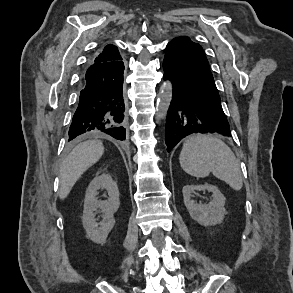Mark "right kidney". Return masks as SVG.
Wrapping results in <instances>:
<instances>
[{
  "label": "right kidney",
  "mask_w": 293,
  "mask_h": 293,
  "mask_svg": "<svg viewBox=\"0 0 293 293\" xmlns=\"http://www.w3.org/2000/svg\"><path fill=\"white\" fill-rule=\"evenodd\" d=\"M105 189L108 193V200H98V190ZM120 206L119 190L115 181L109 174H102L95 177L89 184L85 200L82 223L87 236L95 243H105L109 232L115 225L114 213ZM100 209L103 219L97 223L95 213ZM99 225V226H98Z\"/></svg>",
  "instance_id": "ca27d5eb"
}]
</instances>
